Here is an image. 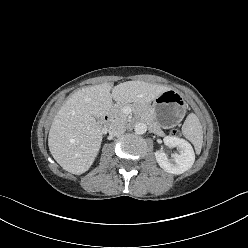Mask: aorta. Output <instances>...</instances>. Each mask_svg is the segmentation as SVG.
I'll return each mask as SVG.
<instances>
[{"label": "aorta", "mask_w": 248, "mask_h": 248, "mask_svg": "<svg viewBox=\"0 0 248 248\" xmlns=\"http://www.w3.org/2000/svg\"><path fill=\"white\" fill-rule=\"evenodd\" d=\"M134 131L139 134L142 135L144 133H146L147 131V125L145 123H137L134 127Z\"/></svg>", "instance_id": "obj_1"}]
</instances>
